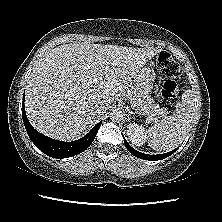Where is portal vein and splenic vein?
I'll use <instances>...</instances> for the list:
<instances>
[{
	"label": "portal vein and splenic vein",
	"mask_w": 222,
	"mask_h": 222,
	"mask_svg": "<svg viewBox=\"0 0 222 222\" xmlns=\"http://www.w3.org/2000/svg\"><path fill=\"white\" fill-rule=\"evenodd\" d=\"M102 80V78H98V79H95L94 81L95 82H99V81H101ZM131 104V106H135V105H133L132 103H130ZM151 120V118H148V121H150ZM153 120L155 121V122H157V118H153Z\"/></svg>",
	"instance_id": "18ae733b"
}]
</instances>
